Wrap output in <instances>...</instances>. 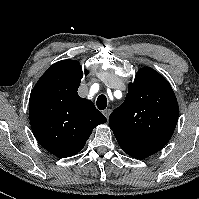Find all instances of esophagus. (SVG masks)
I'll use <instances>...</instances> for the list:
<instances>
[{
    "instance_id": "34e87169",
    "label": "esophagus",
    "mask_w": 199,
    "mask_h": 199,
    "mask_svg": "<svg viewBox=\"0 0 199 199\" xmlns=\"http://www.w3.org/2000/svg\"><path fill=\"white\" fill-rule=\"evenodd\" d=\"M110 112H111L110 109H105V110L103 111V114L106 116V118H108L109 115H110Z\"/></svg>"
}]
</instances>
